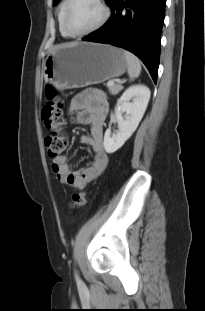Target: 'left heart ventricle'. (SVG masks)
I'll return each instance as SVG.
<instances>
[{
    "instance_id": "b2bd125f",
    "label": "left heart ventricle",
    "mask_w": 205,
    "mask_h": 311,
    "mask_svg": "<svg viewBox=\"0 0 205 311\" xmlns=\"http://www.w3.org/2000/svg\"><path fill=\"white\" fill-rule=\"evenodd\" d=\"M102 9L94 0H73L68 13V26L73 32H83L98 23Z\"/></svg>"
}]
</instances>
